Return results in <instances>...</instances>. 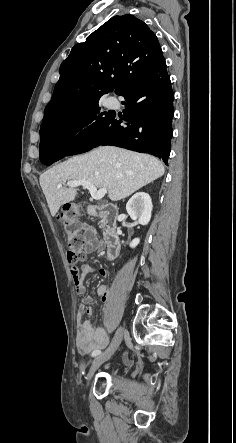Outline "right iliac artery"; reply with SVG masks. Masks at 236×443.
I'll list each match as a JSON object with an SVG mask.
<instances>
[{"label":"right iliac artery","instance_id":"1","mask_svg":"<svg viewBox=\"0 0 236 443\" xmlns=\"http://www.w3.org/2000/svg\"><path fill=\"white\" fill-rule=\"evenodd\" d=\"M100 353H101L100 350H95L92 352V356L95 357V356L99 355Z\"/></svg>","mask_w":236,"mask_h":443}]
</instances>
